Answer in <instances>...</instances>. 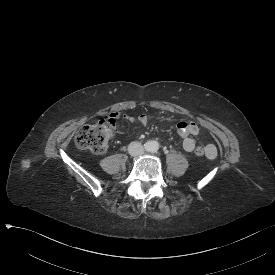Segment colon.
Returning <instances> with one entry per match:
<instances>
[{
  "instance_id": "colon-1",
  "label": "colon",
  "mask_w": 275,
  "mask_h": 275,
  "mask_svg": "<svg viewBox=\"0 0 275 275\" xmlns=\"http://www.w3.org/2000/svg\"><path fill=\"white\" fill-rule=\"evenodd\" d=\"M115 133L113 119L100 121L95 124H87L78 131L75 143L78 148L89 151L104 152ZM197 155H204L205 148L199 146L195 149Z\"/></svg>"
}]
</instances>
